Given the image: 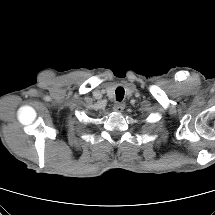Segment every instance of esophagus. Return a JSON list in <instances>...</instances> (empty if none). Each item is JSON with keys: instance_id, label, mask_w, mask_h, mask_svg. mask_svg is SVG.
<instances>
[{"instance_id": "esophagus-1", "label": "esophagus", "mask_w": 215, "mask_h": 215, "mask_svg": "<svg viewBox=\"0 0 215 215\" xmlns=\"http://www.w3.org/2000/svg\"><path fill=\"white\" fill-rule=\"evenodd\" d=\"M124 108H125V104L121 102H116L113 106V110L118 113L122 112Z\"/></svg>"}]
</instances>
